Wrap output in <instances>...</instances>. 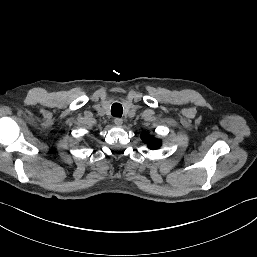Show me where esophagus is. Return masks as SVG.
<instances>
[{"instance_id": "esophagus-1", "label": "esophagus", "mask_w": 257, "mask_h": 257, "mask_svg": "<svg viewBox=\"0 0 257 257\" xmlns=\"http://www.w3.org/2000/svg\"><path fill=\"white\" fill-rule=\"evenodd\" d=\"M114 123H115V125H117V126H121V125L123 124V120H122L121 118H119V117H116V118L114 119Z\"/></svg>"}]
</instances>
